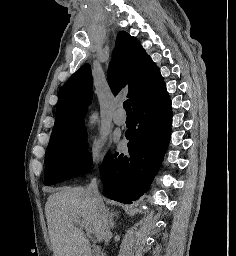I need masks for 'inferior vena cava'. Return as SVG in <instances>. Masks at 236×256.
<instances>
[{
	"label": "inferior vena cava",
	"mask_w": 236,
	"mask_h": 256,
	"mask_svg": "<svg viewBox=\"0 0 236 256\" xmlns=\"http://www.w3.org/2000/svg\"><path fill=\"white\" fill-rule=\"evenodd\" d=\"M86 192H87V194H89V196H91V198H95V200H97V202H99L102 210H105V208L102 204V200L99 196L97 178H93V180H91L89 186H87V188H86ZM103 234H104V240H106V242H108V238L110 236V232L108 230V220H107L106 228H104Z\"/></svg>",
	"instance_id": "obj_1"
}]
</instances>
